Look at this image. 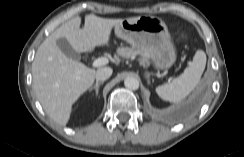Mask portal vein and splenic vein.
I'll return each mask as SVG.
<instances>
[{"instance_id":"obj_1","label":"portal vein and splenic vein","mask_w":244,"mask_h":157,"mask_svg":"<svg viewBox=\"0 0 244 157\" xmlns=\"http://www.w3.org/2000/svg\"><path fill=\"white\" fill-rule=\"evenodd\" d=\"M108 62L109 61L106 57H100V58H97L96 60L93 61L92 66L93 67H101V66L108 64Z\"/></svg>"}]
</instances>
